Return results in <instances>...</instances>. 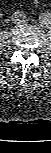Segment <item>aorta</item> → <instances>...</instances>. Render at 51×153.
Listing matches in <instances>:
<instances>
[{
  "mask_svg": "<svg viewBox=\"0 0 51 153\" xmlns=\"http://www.w3.org/2000/svg\"><path fill=\"white\" fill-rule=\"evenodd\" d=\"M39 22H41V26L44 28L51 27V14L46 12L41 13L38 17Z\"/></svg>",
  "mask_w": 51,
  "mask_h": 153,
  "instance_id": "obj_1",
  "label": "aorta"
}]
</instances>
